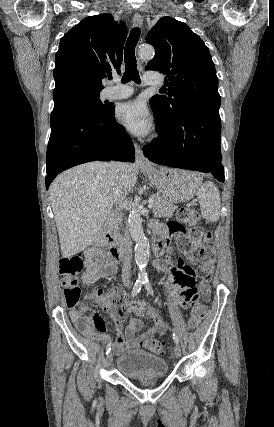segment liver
<instances>
[{
  "mask_svg": "<svg viewBox=\"0 0 274 427\" xmlns=\"http://www.w3.org/2000/svg\"><path fill=\"white\" fill-rule=\"evenodd\" d=\"M120 166L121 172H113L106 162H89L66 170L52 182L49 194L63 257L91 245L116 204L118 190L125 194L133 190L135 166Z\"/></svg>",
  "mask_w": 274,
  "mask_h": 427,
  "instance_id": "liver-1",
  "label": "liver"
}]
</instances>
